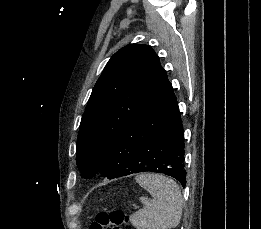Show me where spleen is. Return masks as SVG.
Wrapping results in <instances>:
<instances>
[{
    "mask_svg": "<svg viewBox=\"0 0 261 229\" xmlns=\"http://www.w3.org/2000/svg\"><path fill=\"white\" fill-rule=\"evenodd\" d=\"M136 183L146 189L153 199L140 197L144 209L131 215L136 229H175L182 217V195L179 185L156 173H143L135 177Z\"/></svg>",
    "mask_w": 261,
    "mask_h": 229,
    "instance_id": "1",
    "label": "spleen"
}]
</instances>
